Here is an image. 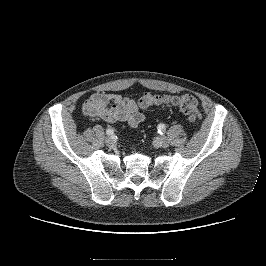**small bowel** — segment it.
Instances as JSON below:
<instances>
[{
  "instance_id": "small-bowel-1",
  "label": "small bowel",
  "mask_w": 266,
  "mask_h": 266,
  "mask_svg": "<svg viewBox=\"0 0 266 266\" xmlns=\"http://www.w3.org/2000/svg\"><path fill=\"white\" fill-rule=\"evenodd\" d=\"M82 111L85 116L108 123L120 122L129 128H136L145 120L134 99L111 92L93 93L83 103Z\"/></svg>"
}]
</instances>
